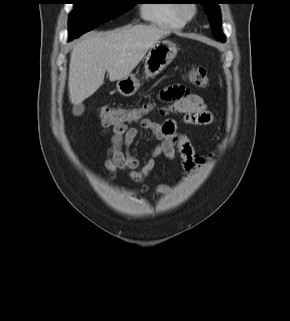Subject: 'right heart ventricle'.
I'll return each mask as SVG.
<instances>
[{"label": "right heart ventricle", "mask_w": 290, "mask_h": 321, "mask_svg": "<svg viewBox=\"0 0 290 321\" xmlns=\"http://www.w3.org/2000/svg\"><path fill=\"white\" fill-rule=\"evenodd\" d=\"M175 0H155L142 6L145 21L172 29H180L186 22L178 15Z\"/></svg>", "instance_id": "1"}]
</instances>
